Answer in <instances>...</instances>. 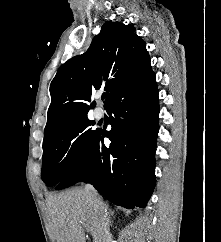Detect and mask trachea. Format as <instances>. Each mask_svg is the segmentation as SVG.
<instances>
[{"label": "trachea", "instance_id": "3493384b", "mask_svg": "<svg viewBox=\"0 0 221 242\" xmlns=\"http://www.w3.org/2000/svg\"><path fill=\"white\" fill-rule=\"evenodd\" d=\"M101 98H102V100H104V99H105V95H102V97H101Z\"/></svg>", "mask_w": 221, "mask_h": 242}]
</instances>
